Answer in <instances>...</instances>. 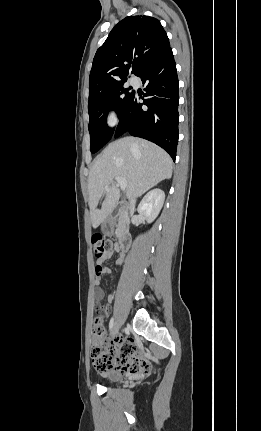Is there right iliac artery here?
Listing matches in <instances>:
<instances>
[{"label": "right iliac artery", "instance_id": "1", "mask_svg": "<svg viewBox=\"0 0 261 431\" xmlns=\"http://www.w3.org/2000/svg\"><path fill=\"white\" fill-rule=\"evenodd\" d=\"M113 325H114V318L112 317V318L110 319V323H109V330H110V331L112 330Z\"/></svg>", "mask_w": 261, "mask_h": 431}]
</instances>
